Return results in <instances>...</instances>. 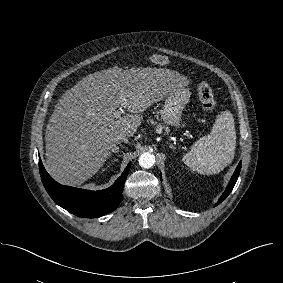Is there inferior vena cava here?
Here are the masks:
<instances>
[{"label":"inferior vena cava","mask_w":283,"mask_h":283,"mask_svg":"<svg viewBox=\"0 0 283 283\" xmlns=\"http://www.w3.org/2000/svg\"><path fill=\"white\" fill-rule=\"evenodd\" d=\"M114 142H125V143H128L129 140L127 138V136L125 135H122V134H118L114 137Z\"/></svg>","instance_id":"obj_1"}]
</instances>
